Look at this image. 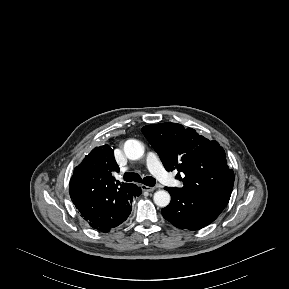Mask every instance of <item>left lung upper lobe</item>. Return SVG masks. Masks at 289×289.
Here are the masks:
<instances>
[{"mask_svg":"<svg viewBox=\"0 0 289 289\" xmlns=\"http://www.w3.org/2000/svg\"><path fill=\"white\" fill-rule=\"evenodd\" d=\"M142 132L165 168L178 171L177 178L184 186L171 190L225 208L232 193L234 172L228 167L225 151L218 142L176 123L147 125Z\"/></svg>","mask_w":289,"mask_h":289,"instance_id":"obj_1","label":"left lung upper lobe"}]
</instances>
